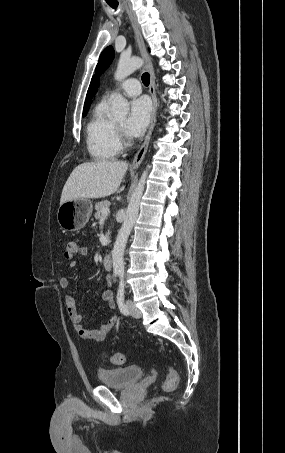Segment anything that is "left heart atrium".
Returning <instances> with one entry per match:
<instances>
[{
	"label": "left heart atrium",
	"instance_id": "left-heart-atrium-1",
	"mask_svg": "<svg viewBox=\"0 0 285 453\" xmlns=\"http://www.w3.org/2000/svg\"><path fill=\"white\" fill-rule=\"evenodd\" d=\"M151 114L147 98L140 97L131 102L130 114L126 122V131L132 137H138L146 130Z\"/></svg>",
	"mask_w": 285,
	"mask_h": 453
}]
</instances>
